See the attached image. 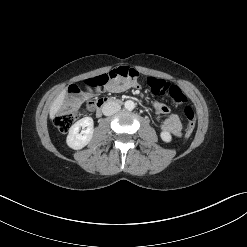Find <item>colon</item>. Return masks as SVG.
I'll return each mask as SVG.
<instances>
[{
	"label": "colon",
	"mask_w": 247,
	"mask_h": 247,
	"mask_svg": "<svg viewBox=\"0 0 247 247\" xmlns=\"http://www.w3.org/2000/svg\"><path fill=\"white\" fill-rule=\"evenodd\" d=\"M138 76L137 72L129 69L127 67L116 68L99 79L96 76H89L86 79L85 87L89 89H96L99 86V83H105L107 81L113 80L117 77H130L136 79ZM147 84L150 87V90L155 95H168L174 105L180 106L183 105V113L187 120V127L185 130V138H189L194 131L196 116L193 108L187 105V97L185 94L175 85H171L164 80L156 79L150 77L147 79ZM71 92V102H68L64 105L63 111L55 118V125L58 130L62 133H66L70 130L73 124L81 117L82 112L77 108L75 103L76 96L81 92L80 87L73 86L70 90Z\"/></svg>",
	"instance_id": "obj_1"
}]
</instances>
